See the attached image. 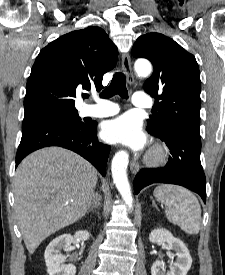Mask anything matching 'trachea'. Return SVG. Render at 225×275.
Listing matches in <instances>:
<instances>
[{"label":"trachea","mask_w":225,"mask_h":275,"mask_svg":"<svg viewBox=\"0 0 225 275\" xmlns=\"http://www.w3.org/2000/svg\"><path fill=\"white\" fill-rule=\"evenodd\" d=\"M116 94H118L122 98H128V91L126 88V77L122 72H116L113 75L110 85L102 91L100 96L102 98H110Z\"/></svg>","instance_id":"3493384b"}]
</instances>
